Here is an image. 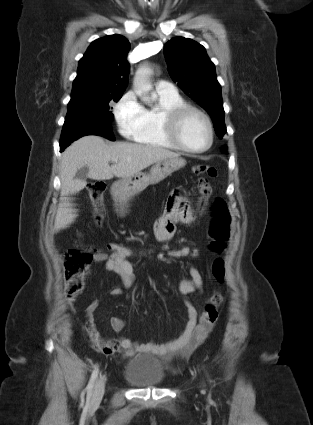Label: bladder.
<instances>
[{
	"label": "bladder",
	"mask_w": 313,
	"mask_h": 425,
	"mask_svg": "<svg viewBox=\"0 0 313 425\" xmlns=\"http://www.w3.org/2000/svg\"><path fill=\"white\" fill-rule=\"evenodd\" d=\"M123 378L136 388H146L163 384L165 373L158 359L139 355L127 360Z\"/></svg>",
	"instance_id": "bladder-1"
}]
</instances>
